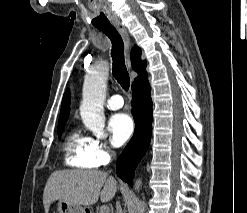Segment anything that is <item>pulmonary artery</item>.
<instances>
[{
    "label": "pulmonary artery",
    "instance_id": "pulmonary-artery-1",
    "mask_svg": "<svg viewBox=\"0 0 247 213\" xmlns=\"http://www.w3.org/2000/svg\"><path fill=\"white\" fill-rule=\"evenodd\" d=\"M124 105V100L120 95H114L108 99L106 106L108 109L117 110L122 108Z\"/></svg>",
    "mask_w": 247,
    "mask_h": 213
}]
</instances>
